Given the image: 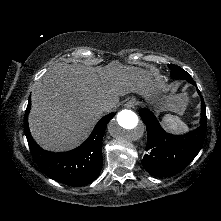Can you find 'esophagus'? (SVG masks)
<instances>
[{
	"mask_svg": "<svg viewBox=\"0 0 221 221\" xmlns=\"http://www.w3.org/2000/svg\"><path fill=\"white\" fill-rule=\"evenodd\" d=\"M136 105V100L134 98L130 99L127 103L126 106L128 108L134 107Z\"/></svg>",
	"mask_w": 221,
	"mask_h": 221,
	"instance_id": "1",
	"label": "esophagus"
}]
</instances>
